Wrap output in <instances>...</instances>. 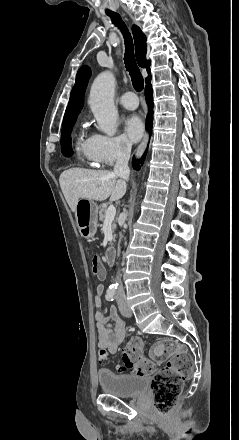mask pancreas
<instances>
[{
    "mask_svg": "<svg viewBox=\"0 0 239 440\" xmlns=\"http://www.w3.org/2000/svg\"><path fill=\"white\" fill-rule=\"evenodd\" d=\"M106 212H107V206L106 208H100L99 210V220L100 222H104L105 218H106ZM117 226L116 224H112V230L114 232V230H116ZM114 238H115V234H114ZM112 242H114V240H112Z\"/></svg>",
    "mask_w": 239,
    "mask_h": 440,
    "instance_id": "1",
    "label": "pancreas"
}]
</instances>
